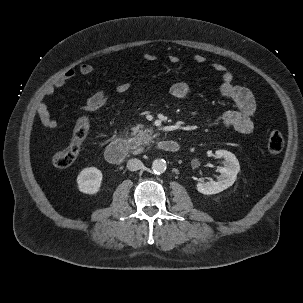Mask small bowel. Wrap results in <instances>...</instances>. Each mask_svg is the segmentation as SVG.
Segmentation results:
<instances>
[{
    "label": "small bowel",
    "mask_w": 303,
    "mask_h": 303,
    "mask_svg": "<svg viewBox=\"0 0 303 303\" xmlns=\"http://www.w3.org/2000/svg\"><path fill=\"white\" fill-rule=\"evenodd\" d=\"M141 59L145 62H154L157 57L152 53H146L142 55ZM193 60L196 64H204L207 59L204 55L197 54L193 57ZM169 61L174 65L180 64V58L177 55H170ZM211 68L214 72L221 74V95L235 105V109L223 112L221 116L223 125L237 133L250 134L254 129L253 116L256 111V102L252 92L247 87L236 84L233 74L227 70L224 64L215 62L211 65ZM96 70V67L90 63H83L79 67L82 75L93 74ZM74 76V70L69 69L65 71L45 90V95L50 96L54 94L58 88L64 86ZM130 88V82H122L117 84L114 90L118 94H123L129 91ZM192 92L191 86L186 82H177L170 88L171 95L181 100L190 98ZM103 95H107L106 91L99 89L87 101ZM36 112L45 127L55 128L57 126L56 119L50 114L45 103L38 104Z\"/></svg>",
    "instance_id": "small-bowel-1"
}]
</instances>
